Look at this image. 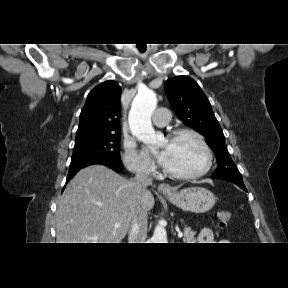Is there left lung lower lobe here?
I'll return each mask as SVG.
<instances>
[{
    "label": "left lung lower lobe",
    "mask_w": 288,
    "mask_h": 288,
    "mask_svg": "<svg viewBox=\"0 0 288 288\" xmlns=\"http://www.w3.org/2000/svg\"><path fill=\"white\" fill-rule=\"evenodd\" d=\"M236 185H238L240 188H242L243 190L247 191V189L244 186V183H235Z\"/></svg>",
    "instance_id": "1"
}]
</instances>
